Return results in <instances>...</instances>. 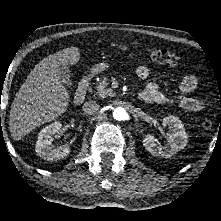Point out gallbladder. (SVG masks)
<instances>
[{"mask_svg": "<svg viewBox=\"0 0 221 221\" xmlns=\"http://www.w3.org/2000/svg\"><path fill=\"white\" fill-rule=\"evenodd\" d=\"M58 73L60 75V80L63 84L66 85V87H71L72 82L70 79V70L66 65H62L58 69Z\"/></svg>", "mask_w": 221, "mask_h": 221, "instance_id": "bac80fb5", "label": "gallbladder"}]
</instances>
